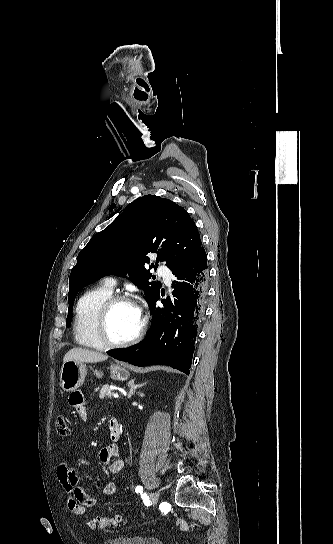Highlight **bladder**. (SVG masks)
Here are the masks:
<instances>
[{"label":"bladder","instance_id":"31cf9c89","mask_svg":"<svg viewBox=\"0 0 333 544\" xmlns=\"http://www.w3.org/2000/svg\"><path fill=\"white\" fill-rule=\"evenodd\" d=\"M105 544H163L159 539L154 537L131 536V537H116L106 541Z\"/></svg>","mask_w":333,"mask_h":544}]
</instances>
